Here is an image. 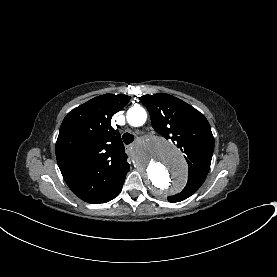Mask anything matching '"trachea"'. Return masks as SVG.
<instances>
[{
    "mask_svg": "<svg viewBox=\"0 0 277 277\" xmlns=\"http://www.w3.org/2000/svg\"><path fill=\"white\" fill-rule=\"evenodd\" d=\"M123 142L128 145L134 141V136L130 133H124L122 136Z\"/></svg>",
    "mask_w": 277,
    "mask_h": 277,
    "instance_id": "obj_1",
    "label": "trachea"
}]
</instances>
